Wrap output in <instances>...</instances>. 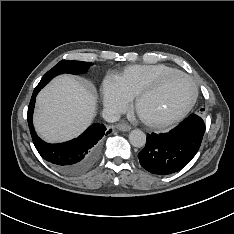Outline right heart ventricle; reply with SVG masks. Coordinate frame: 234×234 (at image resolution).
<instances>
[{"label": "right heart ventricle", "mask_w": 234, "mask_h": 234, "mask_svg": "<svg viewBox=\"0 0 234 234\" xmlns=\"http://www.w3.org/2000/svg\"><path fill=\"white\" fill-rule=\"evenodd\" d=\"M174 71L178 70L164 64L132 65L119 73L115 81L122 93L132 100L158 78Z\"/></svg>", "instance_id": "e07e8e85"}]
</instances>
